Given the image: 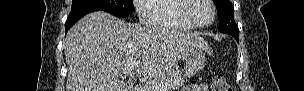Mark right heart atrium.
I'll return each instance as SVG.
<instances>
[{
	"label": "right heart atrium",
	"mask_w": 304,
	"mask_h": 91,
	"mask_svg": "<svg viewBox=\"0 0 304 91\" xmlns=\"http://www.w3.org/2000/svg\"><path fill=\"white\" fill-rule=\"evenodd\" d=\"M151 2V0H136L135 1V6L137 9V12L139 14V18L141 20H147L149 16L148 11H147V6L149 5V3Z\"/></svg>",
	"instance_id": "d8ad5b80"
}]
</instances>
